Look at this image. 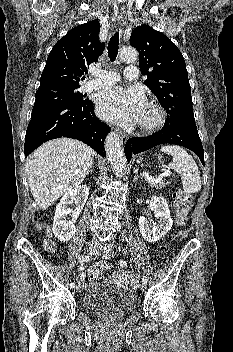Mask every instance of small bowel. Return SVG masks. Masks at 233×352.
<instances>
[{
	"mask_svg": "<svg viewBox=\"0 0 233 352\" xmlns=\"http://www.w3.org/2000/svg\"><path fill=\"white\" fill-rule=\"evenodd\" d=\"M84 266L83 265H80L79 266V272L78 274L76 275V279L78 280V282L82 285L85 284V274H84Z\"/></svg>",
	"mask_w": 233,
	"mask_h": 352,
	"instance_id": "1",
	"label": "small bowel"
}]
</instances>
